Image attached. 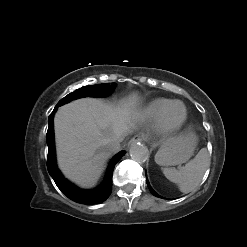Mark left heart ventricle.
I'll return each instance as SVG.
<instances>
[{
	"instance_id": "b2bd125f",
	"label": "left heart ventricle",
	"mask_w": 247,
	"mask_h": 247,
	"mask_svg": "<svg viewBox=\"0 0 247 247\" xmlns=\"http://www.w3.org/2000/svg\"><path fill=\"white\" fill-rule=\"evenodd\" d=\"M182 114H183L182 107L177 105L172 108V110L170 111L169 117L172 121H177L178 119L181 118Z\"/></svg>"
}]
</instances>
